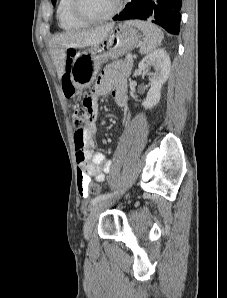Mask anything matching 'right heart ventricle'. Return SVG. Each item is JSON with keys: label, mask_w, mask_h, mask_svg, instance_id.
I'll return each mask as SVG.
<instances>
[{"label": "right heart ventricle", "mask_w": 227, "mask_h": 298, "mask_svg": "<svg viewBox=\"0 0 227 298\" xmlns=\"http://www.w3.org/2000/svg\"><path fill=\"white\" fill-rule=\"evenodd\" d=\"M71 6L72 0H59L57 5V17L60 27L68 31L85 27V23L74 17Z\"/></svg>", "instance_id": "1"}]
</instances>
